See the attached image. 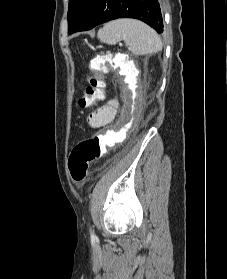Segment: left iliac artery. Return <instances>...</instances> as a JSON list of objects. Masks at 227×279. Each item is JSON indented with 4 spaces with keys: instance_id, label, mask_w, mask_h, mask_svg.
Masks as SVG:
<instances>
[{
    "instance_id": "obj_1",
    "label": "left iliac artery",
    "mask_w": 227,
    "mask_h": 279,
    "mask_svg": "<svg viewBox=\"0 0 227 279\" xmlns=\"http://www.w3.org/2000/svg\"><path fill=\"white\" fill-rule=\"evenodd\" d=\"M90 233H91V236L94 238L95 237V235H94V233L92 232V230L90 229Z\"/></svg>"
}]
</instances>
